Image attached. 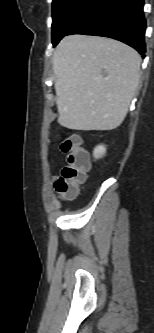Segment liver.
Returning a JSON list of instances; mask_svg holds the SVG:
<instances>
[{
  "label": "liver",
  "instance_id": "6515ba94",
  "mask_svg": "<svg viewBox=\"0 0 154 333\" xmlns=\"http://www.w3.org/2000/svg\"><path fill=\"white\" fill-rule=\"evenodd\" d=\"M141 57L109 38L70 35L53 55L58 123L73 130L121 125L140 81Z\"/></svg>",
  "mask_w": 154,
  "mask_h": 333
}]
</instances>
